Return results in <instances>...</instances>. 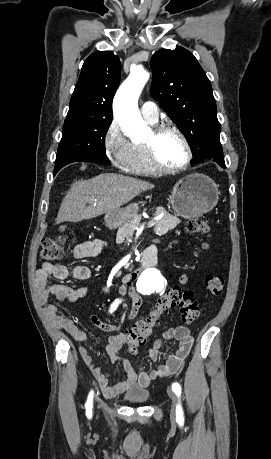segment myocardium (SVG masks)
<instances>
[{"label": "myocardium", "mask_w": 271, "mask_h": 459, "mask_svg": "<svg viewBox=\"0 0 271 459\" xmlns=\"http://www.w3.org/2000/svg\"><path fill=\"white\" fill-rule=\"evenodd\" d=\"M169 131L177 133L183 139L186 145L187 157L180 164H176V165L166 164L160 157L159 150H158V141L166 132H169ZM152 136H153L152 140L146 141L145 144L147 146L150 158L158 170L163 171V172H168V173L179 172V171L186 169L187 167L191 165L194 159L193 146L187 134L178 125L173 124V123L161 124L153 129Z\"/></svg>", "instance_id": "obj_1"}]
</instances>
